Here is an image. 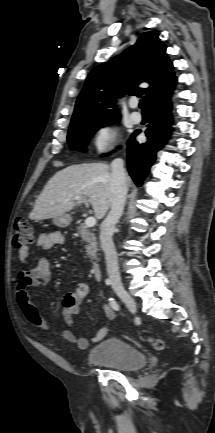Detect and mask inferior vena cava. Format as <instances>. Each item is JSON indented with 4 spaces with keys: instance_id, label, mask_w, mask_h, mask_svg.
Instances as JSON below:
<instances>
[{
    "instance_id": "602c4592",
    "label": "inferior vena cava",
    "mask_w": 215,
    "mask_h": 433,
    "mask_svg": "<svg viewBox=\"0 0 215 433\" xmlns=\"http://www.w3.org/2000/svg\"><path fill=\"white\" fill-rule=\"evenodd\" d=\"M111 209L100 227V242L105 253L106 267L111 286L114 291L124 290L119 273L117 253L112 236L115 225L123 214L127 195L126 174L124 162L116 158L111 163Z\"/></svg>"
}]
</instances>
